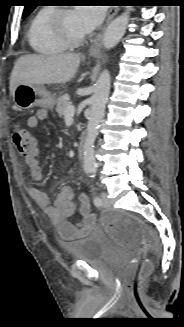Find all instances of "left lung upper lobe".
Segmentation results:
<instances>
[{"label": "left lung upper lobe", "instance_id": "obj_1", "mask_svg": "<svg viewBox=\"0 0 184 327\" xmlns=\"http://www.w3.org/2000/svg\"><path fill=\"white\" fill-rule=\"evenodd\" d=\"M27 5L25 6V9L23 11V18H26L34 9H35V5L33 4L34 3V0H28L27 1Z\"/></svg>", "mask_w": 184, "mask_h": 327}]
</instances>
